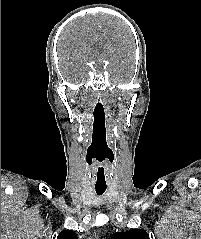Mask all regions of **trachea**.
Instances as JSON below:
<instances>
[{
	"label": "trachea",
	"instance_id": "1",
	"mask_svg": "<svg viewBox=\"0 0 201 239\" xmlns=\"http://www.w3.org/2000/svg\"><path fill=\"white\" fill-rule=\"evenodd\" d=\"M106 188V186H95L96 193L98 195H102L105 192Z\"/></svg>",
	"mask_w": 201,
	"mask_h": 239
}]
</instances>
